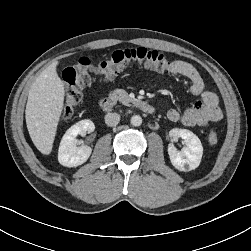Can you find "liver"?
<instances>
[{
	"label": "liver",
	"instance_id": "obj_1",
	"mask_svg": "<svg viewBox=\"0 0 251 251\" xmlns=\"http://www.w3.org/2000/svg\"><path fill=\"white\" fill-rule=\"evenodd\" d=\"M58 62L49 65L30 87L25 118L35 147L45 155L53 148L64 107L65 87L57 74Z\"/></svg>",
	"mask_w": 251,
	"mask_h": 251
}]
</instances>
